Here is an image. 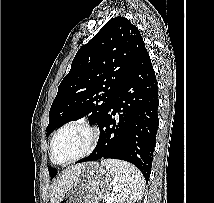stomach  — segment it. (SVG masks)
Returning <instances> with one entry per match:
<instances>
[{
    "mask_svg": "<svg viewBox=\"0 0 214 203\" xmlns=\"http://www.w3.org/2000/svg\"><path fill=\"white\" fill-rule=\"evenodd\" d=\"M114 188V175L97 162L81 166L73 185L59 203H100Z\"/></svg>",
    "mask_w": 214,
    "mask_h": 203,
    "instance_id": "0dacf381",
    "label": "stomach"
}]
</instances>
